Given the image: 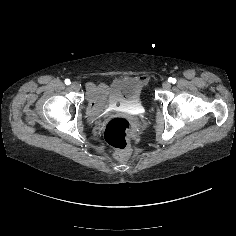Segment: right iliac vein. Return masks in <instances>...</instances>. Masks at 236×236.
I'll return each instance as SVG.
<instances>
[{"mask_svg":"<svg viewBox=\"0 0 236 236\" xmlns=\"http://www.w3.org/2000/svg\"><path fill=\"white\" fill-rule=\"evenodd\" d=\"M70 86L75 91H79L80 90V85L77 82H73Z\"/></svg>","mask_w":236,"mask_h":236,"instance_id":"obj_1","label":"right iliac vein"}]
</instances>
